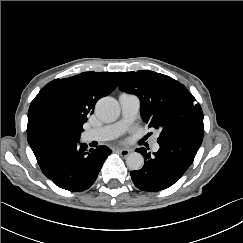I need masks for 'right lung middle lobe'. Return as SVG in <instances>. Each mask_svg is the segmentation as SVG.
<instances>
[{"label": "right lung middle lobe", "mask_w": 243, "mask_h": 243, "mask_svg": "<svg viewBox=\"0 0 243 243\" xmlns=\"http://www.w3.org/2000/svg\"><path fill=\"white\" fill-rule=\"evenodd\" d=\"M44 124L45 129L59 132L74 140H79L80 134L83 132L81 125L77 124L66 114L57 110L46 112Z\"/></svg>", "instance_id": "dd1d6c3e"}]
</instances>
